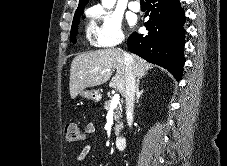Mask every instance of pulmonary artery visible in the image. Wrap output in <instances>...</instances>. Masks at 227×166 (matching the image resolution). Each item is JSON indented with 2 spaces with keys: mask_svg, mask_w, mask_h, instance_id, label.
I'll return each instance as SVG.
<instances>
[{
  "mask_svg": "<svg viewBox=\"0 0 227 166\" xmlns=\"http://www.w3.org/2000/svg\"><path fill=\"white\" fill-rule=\"evenodd\" d=\"M129 9L134 11V12H138L140 11V3L138 0H131L129 2Z\"/></svg>",
  "mask_w": 227,
  "mask_h": 166,
  "instance_id": "pulmonary-artery-1",
  "label": "pulmonary artery"
}]
</instances>
